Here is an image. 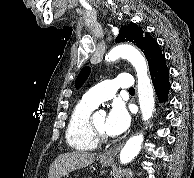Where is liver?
Returning a JSON list of instances; mask_svg holds the SVG:
<instances>
[{
  "label": "liver",
  "mask_w": 194,
  "mask_h": 178,
  "mask_svg": "<svg viewBox=\"0 0 194 178\" xmlns=\"http://www.w3.org/2000/svg\"><path fill=\"white\" fill-rule=\"evenodd\" d=\"M94 160L93 153L84 151L63 153L51 164L48 178H61L74 170L91 165Z\"/></svg>",
  "instance_id": "1"
}]
</instances>
